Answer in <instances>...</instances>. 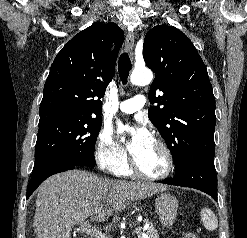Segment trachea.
<instances>
[{"mask_svg": "<svg viewBox=\"0 0 247 238\" xmlns=\"http://www.w3.org/2000/svg\"><path fill=\"white\" fill-rule=\"evenodd\" d=\"M131 67L129 55L127 53H122L118 61V71L123 84L127 83Z\"/></svg>", "mask_w": 247, "mask_h": 238, "instance_id": "obj_1", "label": "trachea"}]
</instances>
